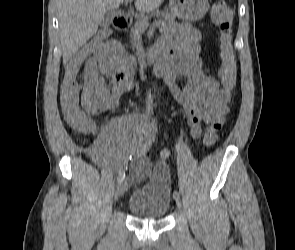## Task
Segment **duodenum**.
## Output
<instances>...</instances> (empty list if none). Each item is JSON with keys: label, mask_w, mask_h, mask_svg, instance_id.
<instances>
[{"label": "duodenum", "mask_w": 295, "mask_h": 250, "mask_svg": "<svg viewBox=\"0 0 295 250\" xmlns=\"http://www.w3.org/2000/svg\"><path fill=\"white\" fill-rule=\"evenodd\" d=\"M132 16L128 12H121L117 14L113 19V27L118 31H124L128 29ZM163 53L160 46L152 47L147 53H145L141 60L144 64L156 63V65L162 60ZM136 63L124 57L120 63L118 72L125 78H131L136 69Z\"/></svg>", "instance_id": "duodenum-1"}]
</instances>
